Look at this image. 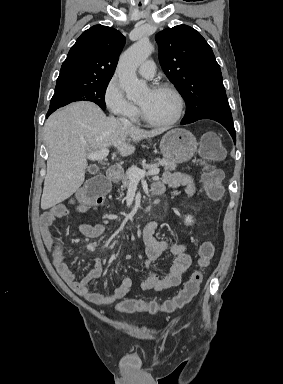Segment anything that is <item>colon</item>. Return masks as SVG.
<instances>
[{
    "label": "colon",
    "instance_id": "5ec220e1",
    "mask_svg": "<svg viewBox=\"0 0 283 384\" xmlns=\"http://www.w3.org/2000/svg\"><path fill=\"white\" fill-rule=\"evenodd\" d=\"M224 155V149L219 136L214 132L206 133L201 141V161L203 163L202 183L213 200H219L223 194V174L213 164ZM109 182L104 177H94L86 182L75 197V204L79 211H85L90 207L100 205L107 192ZM214 256V246L211 242H203L198 251V263L200 267H207ZM203 279L201 271H195L185 283L180 292L172 299L162 304L145 302L137 299H126L116 305L119 312L135 313L157 311L173 312L188 304L197 295Z\"/></svg>",
    "mask_w": 283,
    "mask_h": 384
}]
</instances>
